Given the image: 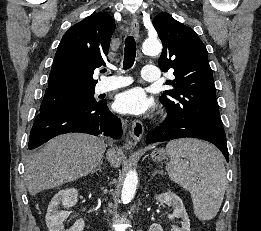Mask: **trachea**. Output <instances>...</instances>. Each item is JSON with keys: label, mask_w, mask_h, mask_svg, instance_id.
<instances>
[{"label": "trachea", "mask_w": 261, "mask_h": 231, "mask_svg": "<svg viewBox=\"0 0 261 231\" xmlns=\"http://www.w3.org/2000/svg\"><path fill=\"white\" fill-rule=\"evenodd\" d=\"M136 57V42L132 36H128L125 40V53H124V61L123 68L129 69L133 66ZM102 73L106 72V70H102Z\"/></svg>", "instance_id": "3493384b"}]
</instances>
